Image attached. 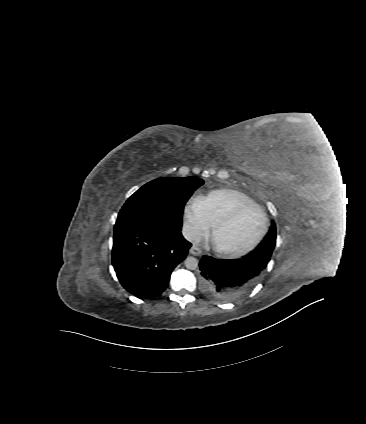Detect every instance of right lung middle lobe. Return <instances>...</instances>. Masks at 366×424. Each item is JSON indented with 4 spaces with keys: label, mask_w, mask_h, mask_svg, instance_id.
Listing matches in <instances>:
<instances>
[{
    "label": "right lung middle lobe",
    "mask_w": 366,
    "mask_h": 424,
    "mask_svg": "<svg viewBox=\"0 0 366 424\" xmlns=\"http://www.w3.org/2000/svg\"><path fill=\"white\" fill-rule=\"evenodd\" d=\"M204 181L196 177L159 178L136 191L123 205L116 225L157 223L180 231L185 203Z\"/></svg>",
    "instance_id": "1"
}]
</instances>
